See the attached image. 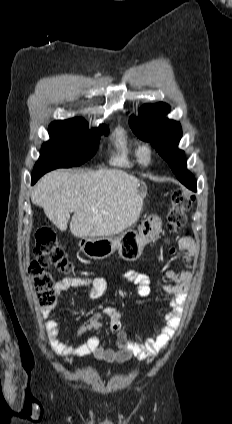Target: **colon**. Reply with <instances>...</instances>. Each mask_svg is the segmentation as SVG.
Returning a JSON list of instances; mask_svg holds the SVG:
<instances>
[{"label":"colon","instance_id":"colon-1","mask_svg":"<svg viewBox=\"0 0 232 424\" xmlns=\"http://www.w3.org/2000/svg\"><path fill=\"white\" fill-rule=\"evenodd\" d=\"M195 201V196L188 190L177 188L172 192L171 205L166 217V227L173 235L185 229L186 213ZM48 268L61 273H72L73 264L68 259L64 249L58 242L55 234L48 229H40L36 233L34 258L29 266L28 273L33 277L34 288L38 303L41 307L50 308L55 302L54 278Z\"/></svg>","mask_w":232,"mask_h":424}]
</instances>
